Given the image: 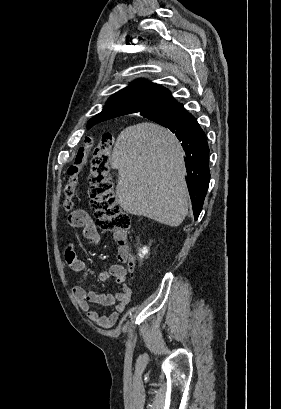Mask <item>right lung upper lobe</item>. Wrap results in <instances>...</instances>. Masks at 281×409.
Masks as SVG:
<instances>
[{"instance_id":"1","label":"right lung upper lobe","mask_w":281,"mask_h":409,"mask_svg":"<svg viewBox=\"0 0 281 409\" xmlns=\"http://www.w3.org/2000/svg\"><path fill=\"white\" fill-rule=\"evenodd\" d=\"M176 103L177 101L170 95L168 89L140 79L113 94L108 99L103 111L89 120L87 128L121 115L161 109Z\"/></svg>"}]
</instances>
